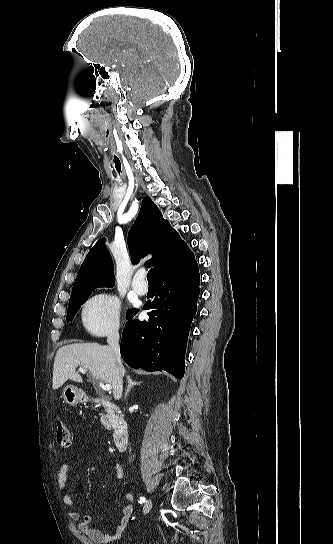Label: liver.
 I'll return each mask as SVG.
<instances>
[{
    "mask_svg": "<svg viewBox=\"0 0 333 544\" xmlns=\"http://www.w3.org/2000/svg\"><path fill=\"white\" fill-rule=\"evenodd\" d=\"M81 366L89 370L93 378L110 384L115 400L122 397L123 381L117 368L113 350L98 343H74L58 349L53 365V389L60 388L68 379L83 382L76 372Z\"/></svg>",
    "mask_w": 333,
    "mask_h": 544,
    "instance_id": "6515ba94",
    "label": "liver"
}]
</instances>
